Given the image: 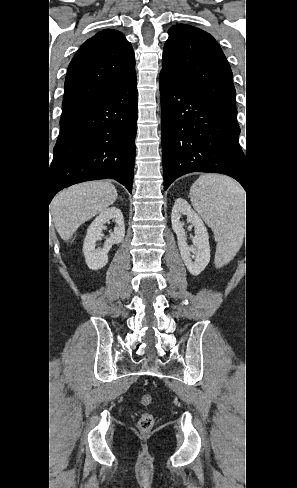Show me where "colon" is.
Segmentation results:
<instances>
[{
    "instance_id": "1",
    "label": "colon",
    "mask_w": 297,
    "mask_h": 488,
    "mask_svg": "<svg viewBox=\"0 0 297 488\" xmlns=\"http://www.w3.org/2000/svg\"><path fill=\"white\" fill-rule=\"evenodd\" d=\"M152 397L149 394H145L141 397V404L147 406L151 403ZM154 425V417L149 412H143L138 421V428L143 432H148Z\"/></svg>"
}]
</instances>
